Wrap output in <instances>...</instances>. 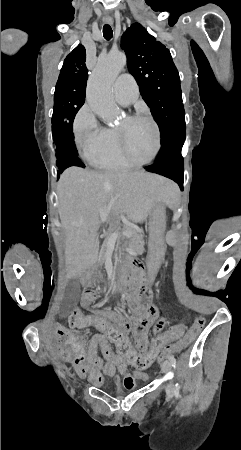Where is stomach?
Instances as JSON below:
<instances>
[{
  "label": "stomach",
  "mask_w": 241,
  "mask_h": 450,
  "mask_svg": "<svg viewBox=\"0 0 241 450\" xmlns=\"http://www.w3.org/2000/svg\"><path fill=\"white\" fill-rule=\"evenodd\" d=\"M164 232V207L161 204H158L153 210L149 226L148 255L146 264L150 278H153L164 260L166 251Z\"/></svg>",
  "instance_id": "0dacf381"
}]
</instances>
